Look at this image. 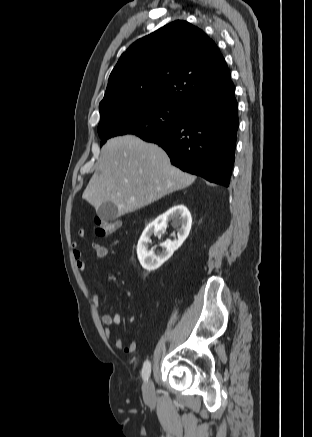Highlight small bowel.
I'll list each match as a JSON object with an SVG mask.
<instances>
[{
  "label": "small bowel",
  "mask_w": 312,
  "mask_h": 437,
  "mask_svg": "<svg viewBox=\"0 0 312 437\" xmlns=\"http://www.w3.org/2000/svg\"><path fill=\"white\" fill-rule=\"evenodd\" d=\"M78 237L84 238L85 237V230L80 229L78 230ZM73 248V256L75 259V263L77 268L84 272L86 270V264L83 260V253L79 247V244L77 242L72 243ZM91 248L94 252L95 258L97 259H103L109 254V250L106 246L101 245L99 243H92ZM84 284L88 291L91 294V298L97 307L99 311L102 312V323L105 325V336L112 341L113 345L117 348L122 350L123 352L127 354H132L136 351L137 343L136 341H131L128 344L124 345L123 342L119 337L115 335V333L112 330V326L120 325L122 323V317L119 313L116 312H108L106 311L107 307V296L101 297L100 294L93 289L91 284L87 279H84Z\"/></svg>",
  "instance_id": "obj_1"
}]
</instances>
